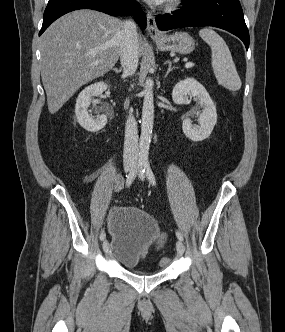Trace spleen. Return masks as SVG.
I'll use <instances>...</instances> for the list:
<instances>
[{"instance_id": "1", "label": "spleen", "mask_w": 285, "mask_h": 332, "mask_svg": "<svg viewBox=\"0 0 285 332\" xmlns=\"http://www.w3.org/2000/svg\"><path fill=\"white\" fill-rule=\"evenodd\" d=\"M199 36L211 48V65L218 83L235 93L241 88L242 83L225 41L210 28L201 29Z\"/></svg>"}]
</instances>
